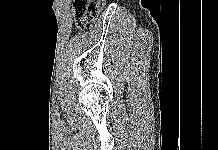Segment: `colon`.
I'll return each instance as SVG.
<instances>
[{"label":"colon","instance_id":"5ec220e1","mask_svg":"<svg viewBox=\"0 0 218 150\" xmlns=\"http://www.w3.org/2000/svg\"><path fill=\"white\" fill-rule=\"evenodd\" d=\"M106 0H76L74 16L79 30L91 28L98 18Z\"/></svg>","mask_w":218,"mask_h":150}]
</instances>
